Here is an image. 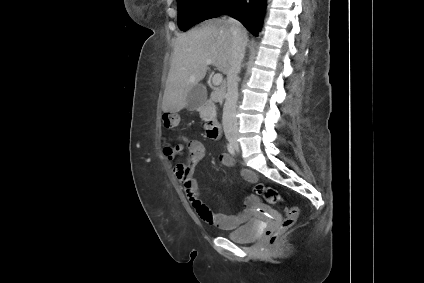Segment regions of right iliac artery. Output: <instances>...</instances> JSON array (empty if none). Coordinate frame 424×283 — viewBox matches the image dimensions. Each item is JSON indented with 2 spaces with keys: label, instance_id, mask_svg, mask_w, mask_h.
<instances>
[{
  "label": "right iliac artery",
  "instance_id": "82829eb1",
  "mask_svg": "<svg viewBox=\"0 0 424 283\" xmlns=\"http://www.w3.org/2000/svg\"><path fill=\"white\" fill-rule=\"evenodd\" d=\"M227 150L230 154H232V155L235 154L234 147L231 144L227 145Z\"/></svg>",
  "mask_w": 424,
  "mask_h": 283
}]
</instances>
